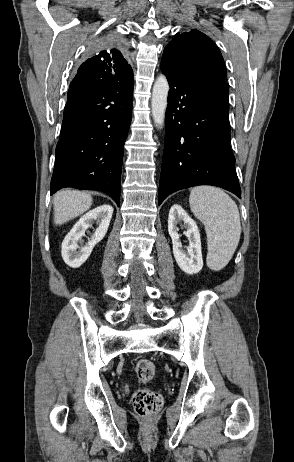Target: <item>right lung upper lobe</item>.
<instances>
[{
  "label": "right lung upper lobe",
  "mask_w": 294,
  "mask_h": 462,
  "mask_svg": "<svg viewBox=\"0 0 294 462\" xmlns=\"http://www.w3.org/2000/svg\"><path fill=\"white\" fill-rule=\"evenodd\" d=\"M133 74L132 68L115 48L98 51L86 60L70 83L68 94H81L113 86Z\"/></svg>",
  "instance_id": "obj_1"
}]
</instances>
